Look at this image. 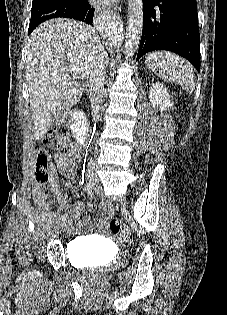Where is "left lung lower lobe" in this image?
I'll return each mask as SVG.
<instances>
[{"label": "left lung lower lobe", "instance_id": "obj_1", "mask_svg": "<svg viewBox=\"0 0 227 315\" xmlns=\"http://www.w3.org/2000/svg\"><path fill=\"white\" fill-rule=\"evenodd\" d=\"M153 50L175 52L200 72L196 0H143V32L137 60Z\"/></svg>", "mask_w": 227, "mask_h": 315}]
</instances>
